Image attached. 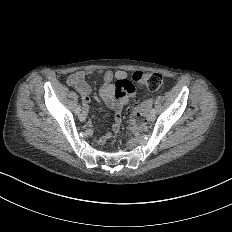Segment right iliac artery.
Returning <instances> with one entry per match:
<instances>
[{
  "mask_svg": "<svg viewBox=\"0 0 232 232\" xmlns=\"http://www.w3.org/2000/svg\"><path fill=\"white\" fill-rule=\"evenodd\" d=\"M81 111V104H79L75 109V114L78 115Z\"/></svg>",
  "mask_w": 232,
  "mask_h": 232,
  "instance_id": "1",
  "label": "right iliac artery"
}]
</instances>
